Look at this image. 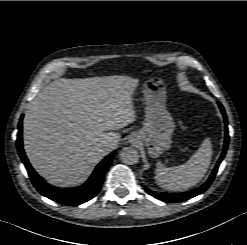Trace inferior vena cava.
Wrapping results in <instances>:
<instances>
[{
	"mask_svg": "<svg viewBox=\"0 0 247 245\" xmlns=\"http://www.w3.org/2000/svg\"><path fill=\"white\" fill-rule=\"evenodd\" d=\"M116 145H117L116 142H114L112 140H108V141H106V142L103 143L102 148L105 151L110 152V151H112L113 149L116 148Z\"/></svg>",
	"mask_w": 247,
	"mask_h": 245,
	"instance_id": "602c4592",
	"label": "inferior vena cava"
}]
</instances>
